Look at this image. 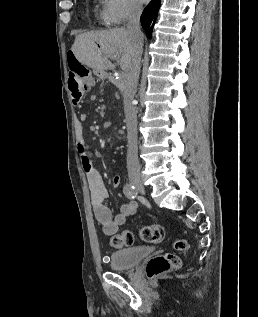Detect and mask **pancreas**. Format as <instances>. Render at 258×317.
<instances>
[{
	"label": "pancreas",
	"mask_w": 258,
	"mask_h": 317,
	"mask_svg": "<svg viewBox=\"0 0 258 317\" xmlns=\"http://www.w3.org/2000/svg\"><path fill=\"white\" fill-rule=\"evenodd\" d=\"M113 82H116L117 84H122L123 78L122 77H113Z\"/></svg>",
	"instance_id": "cf45deb5"
}]
</instances>
